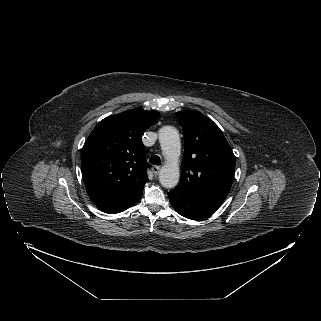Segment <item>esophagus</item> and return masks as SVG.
<instances>
[{
  "label": "esophagus",
  "instance_id": "esophagus-1",
  "mask_svg": "<svg viewBox=\"0 0 321 321\" xmlns=\"http://www.w3.org/2000/svg\"><path fill=\"white\" fill-rule=\"evenodd\" d=\"M152 172L154 173L155 176H158L159 172H160V167L159 166H153L152 167Z\"/></svg>",
  "mask_w": 321,
  "mask_h": 321
}]
</instances>
